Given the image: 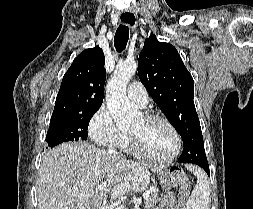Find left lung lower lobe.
Instances as JSON below:
<instances>
[{
  "label": "left lung lower lobe",
  "mask_w": 253,
  "mask_h": 209,
  "mask_svg": "<svg viewBox=\"0 0 253 209\" xmlns=\"http://www.w3.org/2000/svg\"><path fill=\"white\" fill-rule=\"evenodd\" d=\"M196 165H199L201 168L205 170V172L209 175V166L207 160L196 161Z\"/></svg>",
  "instance_id": "left-lung-lower-lobe-1"
}]
</instances>
